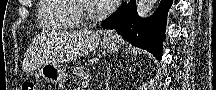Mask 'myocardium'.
<instances>
[{
    "instance_id": "myocardium-1",
    "label": "myocardium",
    "mask_w": 216,
    "mask_h": 90,
    "mask_svg": "<svg viewBox=\"0 0 216 90\" xmlns=\"http://www.w3.org/2000/svg\"><path fill=\"white\" fill-rule=\"evenodd\" d=\"M77 16L86 22V28H96L100 16L107 15L112 8L98 5L96 8L89 7L87 1H73Z\"/></svg>"
}]
</instances>
